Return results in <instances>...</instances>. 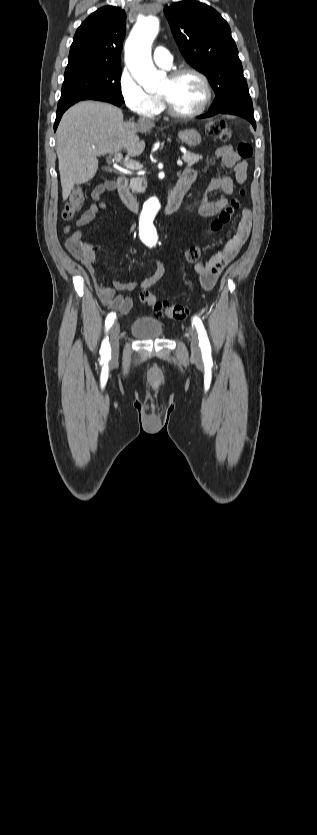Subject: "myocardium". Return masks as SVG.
Here are the masks:
<instances>
[{"mask_svg": "<svg viewBox=\"0 0 317 835\" xmlns=\"http://www.w3.org/2000/svg\"><path fill=\"white\" fill-rule=\"evenodd\" d=\"M185 74H192V75L196 76L201 81V83L203 85V88H204V98H203V100L201 101L200 105L198 106V108L196 110H194L192 112H189V113L180 112L173 107L170 100L165 95L160 94V98H161L167 112L172 117L179 118V119H191V118H195V117L201 115L206 110V108L208 107V105H209V103L212 99V87H211L210 81H209L208 77L203 72H201L200 70H198L196 68H193V67H189V66L180 67V68H177V69L171 71L168 77L170 79L174 80V79H177L178 77H180L182 75H185Z\"/></svg>", "mask_w": 317, "mask_h": 835, "instance_id": "obj_1", "label": "myocardium"}]
</instances>
